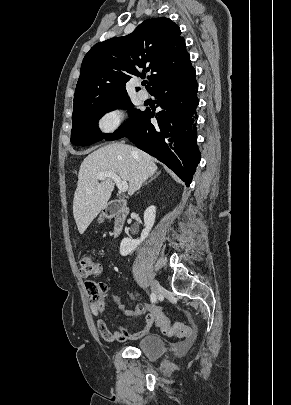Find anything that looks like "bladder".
I'll use <instances>...</instances> for the list:
<instances>
[{
    "instance_id": "bladder-1",
    "label": "bladder",
    "mask_w": 291,
    "mask_h": 405,
    "mask_svg": "<svg viewBox=\"0 0 291 405\" xmlns=\"http://www.w3.org/2000/svg\"><path fill=\"white\" fill-rule=\"evenodd\" d=\"M135 348L151 359H157L166 352L165 341L156 334H147L135 343Z\"/></svg>"
}]
</instances>
